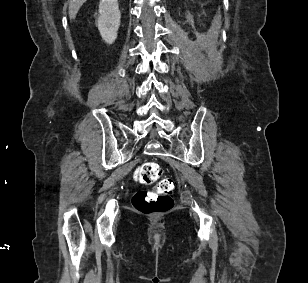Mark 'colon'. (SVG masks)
I'll return each instance as SVG.
<instances>
[{
	"mask_svg": "<svg viewBox=\"0 0 308 283\" xmlns=\"http://www.w3.org/2000/svg\"><path fill=\"white\" fill-rule=\"evenodd\" d=\"M162 168L154 162L142 163L134 173L136 182L142 185L156 183L150 191H139L134 199V208L145 214H157L168 211L173 206L172 193L174 183L169 178L160 179Z\"/></svg>",
	"mask_w": 308,
	"mask_h": 283,
	"instance_id": "colon-1",
	"label": "colon"
}]
</instances>
